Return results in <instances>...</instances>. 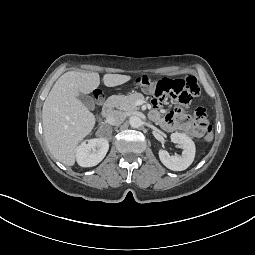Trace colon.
<instances>
[{"label":"colon","instance_id":"5ec220e1","mask_svg":"<svg viewBox=\"0 0 255 255\" xmlns=\"http://www.w3.org/2000/svg\"><path fill=\"white\" fill-rule=\"evenodd\" d=\"M135 83L142 90L152 94L154 104L156 105H160L163 98L169 96L176 100L180 106L186 107L200 91L197 80L192 75H188L185 79L177 80H154L147 75H142L136 78ZM96 99L100 102L101 95L97 94ZM193 115L198 123L206 127L205 141L211 142L213 140V131L210 126H207L204 109L201 107L195 108Z\"/></svg>","mask_w":255,"mask_h":255}]
</instances>
